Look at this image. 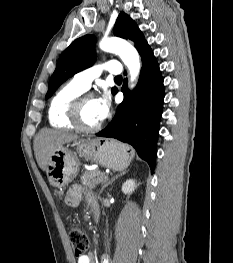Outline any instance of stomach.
I'll return each mask as SVG.
<instances>
[{
	"label": "stomach",
	"mask_w": 233,
	"mask_h": 263,
	"mask_svg": "<svg viewBox=\"0 0 233 263\" xmlns=\"http://www.w3.org/2000/svg\"><path fill=\"white\" fill-rule=\"evenodd\" d=\"M76 145L80 156L115 171L126 169L134 157L129 146L115 140L87 138L80 139ZM78 169L76 153L69 145H62L52 154L46 174L52 186L62 188L76 177Z\"/></svg>",
	"instance_id": "obj_1"
}]
</instances>
